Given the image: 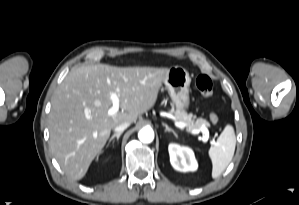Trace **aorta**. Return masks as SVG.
I'll return each mask as SVG.
<instances>
[{
    "instance_id": "aorta-1",
    "label": "aorta",
    "mask_w": 299,
    "mask_h": 205,
    "mask_svg": "<svg viewBox=\"0 0 299 205\" xmlns=\"http://www.w3.org/2000/svg\"><path fill=\"white\" fill-rule=\"evenodd\" d=\"M138 138L143 143H151L154 140V131L150 127H144L139 131Z\"/></svg>"
}]
</instances>
